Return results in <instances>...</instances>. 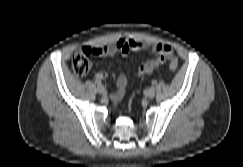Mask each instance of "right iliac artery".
Returning <instances> with one entry per match:
<instances>
[{
  "mask_svg": "<svg viewBox=\"0 0 243 167\" xmlns=\"http://www.w3.org/2000/svg\"><path fill=\"white\" fill-rule=\"evenodd\" d=\"M95 83L97 84V87L102 86L101 81L96 80Z\"/></svg>",
  "mask_w": 243,
  "mask_h": 167,
  "instance_id": "obj_1",
  "label": "right iliac artery"
}]
</instances>
